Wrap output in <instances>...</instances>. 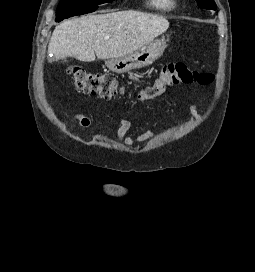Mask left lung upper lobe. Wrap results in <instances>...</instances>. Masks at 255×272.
Here are the masks:
<instances>
[{"instance_id": "1", "label": "left lung upper lobe", "mask_w": 255, "mask_h": 272, "mask_svg": "<svg viewBox=\"0 0 255 272\" xmlns=\"http://www.w3.org/2000/svg\"><path fill=\"white\" fill-rule=\"evenodd\" d=\"M198 6L204 9L216 10V3L214 0H196Z\"/></svg>"}]
</instances>
